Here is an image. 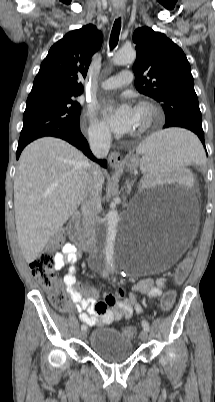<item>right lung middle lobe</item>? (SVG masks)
<instances>
[{
    "label": "right lung middle lobe",
    "mask_w": 215,
    "mask_h": 402,
    "mask_svg": "<svg viewBox=\"0 0 215 402\" xmlns=\"http://www.w3.org/2000/svg\"><path fill=\"white\" fill-rule=\"evenodd\" d=\"M77 95L42 93L28 96L18 145L62 131L80 129Z\"/></svg>",
    "instance_id": "dd1d6c3e"
}]
</instances>
